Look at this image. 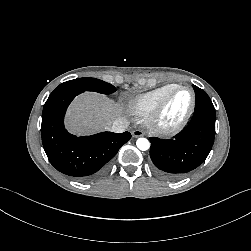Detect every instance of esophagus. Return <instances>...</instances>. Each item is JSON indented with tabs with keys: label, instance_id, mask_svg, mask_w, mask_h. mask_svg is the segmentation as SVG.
I'll return each mask as SVG.
<instances>
[{
	"label": "esophagus",
	"instance_id": "1",
	"mask_svg": "<svg viewBox=\"0 0 251 251\" xmlns=\"http://www.w3.org/2000/svg\"><path fill=\"white\" fill-rule=\"evenodd\" d=\"M144 135V132L142 130L139 129H135L134 131H132V136L134 138H138Z\"/></svg>",
	"mask_w": 251,
	"mask_h": 251
}]
</instances>
